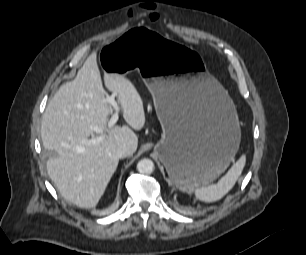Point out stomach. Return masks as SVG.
<instances>
[{
  "mask_svg": "<svg viewBox=\"0 0 306 255\" xmlns=\"http://www.w3.org/2000/svg\"><path fill=\"white\" fill-rule=\"evenodd\" d=\"M100 59L104 72L141 75L163 130L154 151L179 190L191 193L225 171L240 144L238 115L195 50L137 26L104 46Z\"/></svg>",
  "mask_w": 306,
  "mask_h": 255,
  "instance_id": "1",
  "label": "stomach"
}]
</instances>
